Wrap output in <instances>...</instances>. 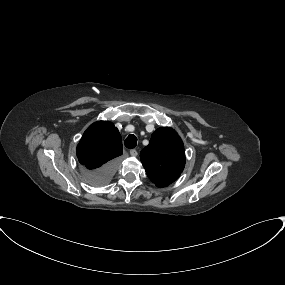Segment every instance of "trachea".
<instances>
[{
    "instance_id": "obj_1",
    "label": "trachea",
    "mask_w": 285,
    "mask_h": 285,
    "mask_svg": "<svg viewBox=\"0 0 285 285\" xmlns=\"http://www.w3.org/2000/svg\"><path fill=\"white\" fill-rule=\"evenodd\" d=\"M137 145V138L134 134H130L126 139H125V146L129 149L135 148Z\"/></svg>"
}]
</instances>
